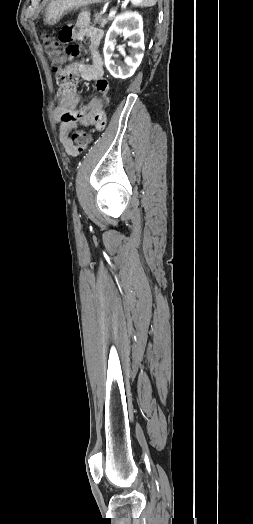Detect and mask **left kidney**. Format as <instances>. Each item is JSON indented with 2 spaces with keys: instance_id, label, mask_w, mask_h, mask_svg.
<instances>
[{
  "instance_id": "5707ae66",
  "label": "left kidney",
  "mask_w": 253,
  "mask_h": 524,
  "mask_svg": "<svg viewBox=\"0 0 253 524\" xmlns=\"http://www.w3.org/2000/svg\"><path fill=\"white\" fill-rule=\"evenodd\" d=\"M123 35L129 38L128 46L131 47V54L125 59V65L118 66L113 60V52L116 44V37ZM143 20L141 15L136 12H126L117 16L109 28L103 48L105 66L110 74L115 78L126 79L131 77L140 65L144 52Z\"/></svg>"
}]
</instances>
